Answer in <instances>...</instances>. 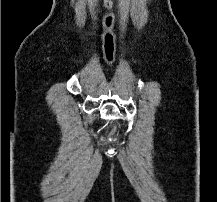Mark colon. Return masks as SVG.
I'll return each mask as SVG.
<instances>
[{
  "label": "colon",
  "instance_id": "obj_1",
  "mask_svg": "<svg viewBox=\"0 0 217 202\" xmlns=\"http://www.w3.org/2000/svg\"><path fill=\"white\" fill-rule=\"evenodd\" d=\"M112 127H115V124H112ZM114 133H117V130H114Z\"/></svg>",
  "mask_w": 217,
  "mask_h": 202
}]
</instances>
